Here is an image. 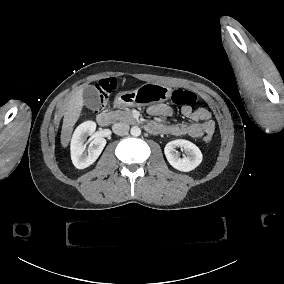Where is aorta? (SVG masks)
<instances>
[{"label": "aorta", "instance_id": "obj_1", "mask_svg": "<svg viewBox=\"0 0 284 284\" xmlns=\"http://www.w3.org/2000/svg\"><path fill=\"white\" fill-rule=\"evenodd\" d=\"M131 135L134 137H138L141 135V129L138 126H133L131 128Z\"/></svg>", "mask_w": 284, "mask_h": 284}]
</instances>
